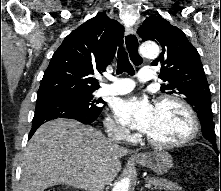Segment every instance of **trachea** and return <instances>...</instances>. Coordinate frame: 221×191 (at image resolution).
I'll list each match as a JSON object with an SVG mask.
<instances>
[{
	"label": "trachea",
	"instance_id": "1",
	"mask_svg": "<svg viewBox=\"0 0 221 191\" xmlns=\"http://www.w3.org/2000/svg\"><path fill=\"white\" fill-rule=\"evenodd\" d=\"M117 74H121L123 72L128 73L129 75H134L135 71L134 68L132 67L131 63L129 62L127 53L125 52L124 49L119 48L118 49V54H117Z\"/></svg>",
	"mask_w": 221,
	"mask_h": 191
}]
</instances>
